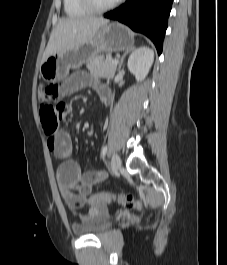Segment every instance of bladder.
<instances>
[{
  "label": "bladder",
  "mask_w": 227,
  "mask_h": 265,
  "mask_svg": "<svg viewBox=\"0 0 227 265\" xmlns=\"http://www.w3.org/2000/svg\"><path fill=\"white\" fill-rule=\"evenodd\" d=\"M112 225L110 216H103L92 221L77 224L73 227L76 235L100 236L106 232Z\"/></svg>",
  "instance_id": "1"
}]
</instances>
